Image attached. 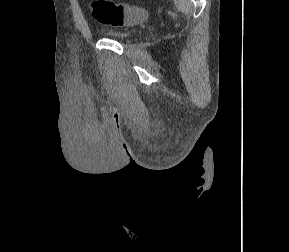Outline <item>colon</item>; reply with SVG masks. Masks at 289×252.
Wrapping results in <instances>:
<instances>
[{
	"mask_svg": "<svg viewBox=\"0 0 289 252\" xmlns=\"http://www.w3.org/2000/svg\"><path fill=\"white\" fill-rule=\"evenodd\" d=\"M90 10L97 22L108 26L132 25L148 19L145 9L110 0H92Z\"/></svg>",
	"mask_w": 289,
	"mask_h": 252,
	"instance_id": "5ec220e1",
	"label": "colon"
}]
</instances>
